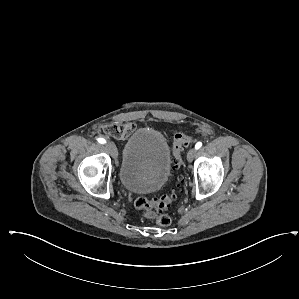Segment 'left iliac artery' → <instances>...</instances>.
Returning a JSON list of instances; mask_svg holds the SVG:
<instances>
[{
    "label": "left iliac artery",
    "instance_id": "left-iliac-artery-1",
    "mask_svg": "<svg viewBox=\"0 0 299 299\" xmlns=\"http://www.w3.org/2000/svg\"><path fill=\"white\" fill-rule=\"evenodd\" d=\"M201 147H202V142H200V141L197 142L196 145H195V149L198 150V149H200Z\"/></svg>",
    "mask_w": 299,
    "mask_h": 299
}]
</instances>
